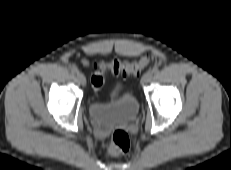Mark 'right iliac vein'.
Wrapping results in <instances>:
<instances>
[{
    "label": "right iliac vein",
    "mask_w": 231,
    "mask_h": 170,
    "mask_svg": "<svg viewBox=\"0 0 231 170\" xmlns=\"http://www.w3.org/2000/svg\"><path fill=\"white\" fill-rule=\"evenodd\" d=\"M76 78H77V81H78L81 85H83V86L86 85V78H85V76H84L82 73L78 72L77 75H76Z\"/></svg>",
    "instance_id": "right-iliac-vein-1"
}]
</instances>
